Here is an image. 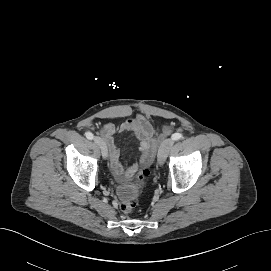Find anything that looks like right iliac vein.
I'll use <instances>...</instances> for the list:
<instances>
[{"mask_svg":"<svg viewBox=\"0 0 271 271\" xmlns=\"http://www.w3.org/2000/svg\"><path fill=\"white\" fill-rule=\"evenodd\" d=\"M94 143L100 148L103 158L106 159L108 157V152L104 140L101 137L96 136L94 138Z\"/></svg>","mask_w":271,"mask_h":271,"instance_id":"63e3f726","label":"right iliac vein"}]
</instances>
